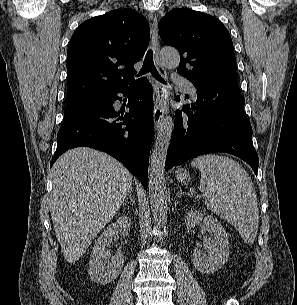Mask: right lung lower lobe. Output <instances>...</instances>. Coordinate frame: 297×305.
I'll return each instance as SVG.
<instances>
[{
    "mask_svg": "<svg viewBox=\"0 0 297 305\" xmlns=\"http://www.w3.org/2000/svg\"><path fill=\"white\" fill-rule=\"evenodd\" d=\"M128 95L129 112L113 107L117 94ZM130 92H132L130 94ZM154 133L152 87L146 78L109 94L108 103L90 109L61 126L50 166L68 149L90 147L123 163L147 188V168Z\"/></svg>",
    "mask_w": 297,
    "mask_h": 305,
    "instance_id": "98d812e1",
    "label": "right lung lower lobe"
}]
</instances>
